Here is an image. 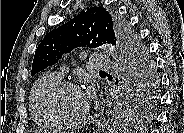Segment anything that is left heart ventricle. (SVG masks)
I'll return each instance as SVG.
<instances>
[{
  "label": "left heart ventricle",
  "mask_w": 184,
  "mask_h": 133,
  "mask_svg": "<svg viewBox=\"0 0 184 133\" xmlns=\"http://www.w3.org/2000/svg\"><path fill=\"white\" fill-rule=\"evenodd\" d=\"M58 107L62 115L70 119L82 117L88 110L89 103L78 88H68L59 97Z\"/></svg>",
  "instance_id": "left-heart-ventricle-1"
}]
</instances>
